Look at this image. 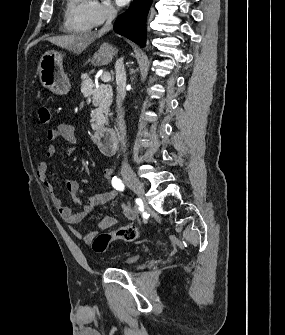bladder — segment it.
Listing matches in <instances>:
<instances>
[{
    "label": "bladder",
    "instance_id": "1",
    "mask_svg": "<svg viewBox=\"0 0 285 335\" xmlns=\"http://www.w3.org/2000/svg\"><path fill=\"white\" fill-rule=\"evenodd\" d=\"M131 255V258L129 260H126L124 258V255L117 257L119 258H124L126 260V263L124 265H136V263L138 262V260L141 257L142 252L141 251H137V252H130L129 253ZM100 265H106V258H100ZM119 265V264H118Z\"/></svg>",
    "mask_w": 285,
    "mask_h": 335
}]
</instances>
